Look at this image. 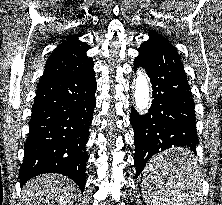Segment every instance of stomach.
Masks as SVG:
<instances>
[{
    "label": "stomach",
    "instance_id": "1",
    "mask_svg": "<svg viewBox=\"0 0 222 205\" xmlns=\"http://www.w3.org/2000/svg\"><path fill=\"white\" fill-rule=\"evenodd\" d=\"M168 155H176V156H184L186 158H190V154L187 153L186 150L182 149H172L165 152Z\"/></svg>",
    "mask_w": 222,
    "mask_h": 205
}]
</instances>
